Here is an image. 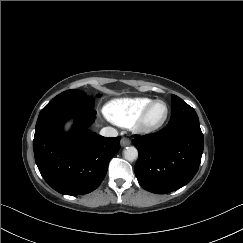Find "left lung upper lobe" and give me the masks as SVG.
<instances>
[{
	"instance_id": "1",
	"label": "left lung upper lobe",
	"mask_w": 243,
	"mask_h": 243,
	"mask_svg": "<svg viewBox=\"0 0 243 243\" xmlns=\"http://www.w3.org/2000/svg\"><path fill=\"white\" fill-rule=\"evenodd\" d=\"M180 116L198 117L195 110L185 103L181 98L172 94V115L171 119Z\"/></svg>"
}]
</instances>
